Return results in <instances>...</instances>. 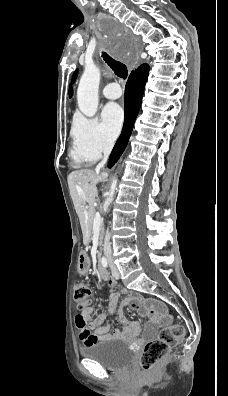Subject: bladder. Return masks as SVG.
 Instances as JSON below:
<instances>
[{
    "label": "bladder",
    "instance_id": "1",
    "mask_svg": "<svg viewBox=\"0 0 228 396\" xmlns=\"http://www.w3.org/2000/svg\"><path fill=\"white\" fill-rule=\"evenodd\" d=\"M80 354L111 370H122L131 365L134 357L129 343L122 339L103 340L88 344Z\"/></svg>",
    "mask_w": 228,
    "mask_h": 396
}]
</instances>
